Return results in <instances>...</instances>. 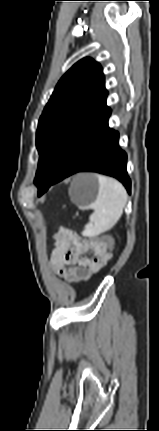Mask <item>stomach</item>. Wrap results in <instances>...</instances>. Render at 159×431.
<instances>
[{"label": "stomach", "mask_w": 159, "mask_h": 431, "mask_svg": "<svg viewBox=\"0 0 159 431\" xmlns=\"http://www.w3.org/2000/svg\"><path fill=\"white\" fill-rule=\"evenodd\" d=\"M99 187L100 185L96 174H78L74 177L70 187L71 200L81 208H88L96 201Z\"/></svg>", "instance_id": "obj_1"}]
</instances>
